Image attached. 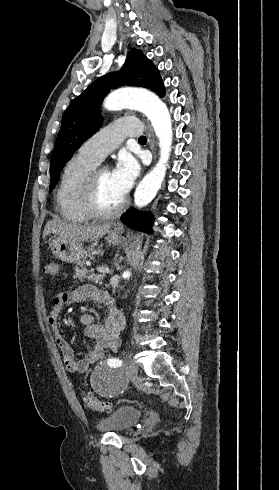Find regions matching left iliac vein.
Returning <instances> with one entry per match:
<instances>
[{"label":"left iliac vein","instance_id":"1","mask_svg":"<svg viewBox=\"0 0 279 490\" xmlns=\"http://www.w3.org/2000/svg\"><path fill=\"white\" fill-rule=\"evenodd\" d=\"M125 368L128 371V374L132 378H134L137 375L138 368H137V364L134 362L133 359L129 360V363L125 365Z\"/></svg>","mask_w":279,"mask_h":490}]
</instances>
